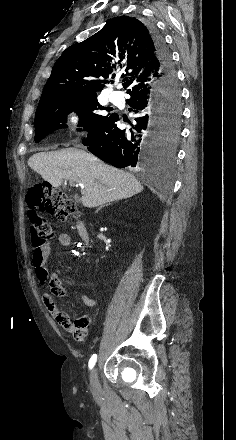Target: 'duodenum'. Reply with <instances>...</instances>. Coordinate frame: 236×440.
<instances>
[{"instance_id": "obj_1", "label": "duodenum", "mask_w": 236, "mask_h": 440, "mask_svg": "<svg viewBox=\"0 0 236 440\" xmlns=\"http://www.w3.org/2000/svg\"><path fill=\"white\" fill-rule=\"evenodd\" d=\"M76 230H77L78 235L81 237V239L84 242L88 243L89 242V233H88L87 227L83 221L80 220L76 223Z\"/></svg>"}]
</instances>
